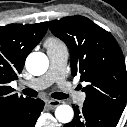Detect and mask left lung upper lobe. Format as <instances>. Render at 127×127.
Returning <instances> with one entry per match:
<instances>
[{"instance_id": "5c2ea615", "label": "left lung upper lobe", "mask_w": 127, "mask_h": 127, "mask_svg": "<svg viewBox=\"0 0 127 127\" xmlns=\"http://www.w3.org/2000/svg\"><path fill=\"white\" fill-rule=\"evenodd\" d=\"M52 33L70 50L71 72L88 82L85 103L122 113L127 100V72L114 37L83 16L49 22Z\"/></svg>"}]
</instances>
